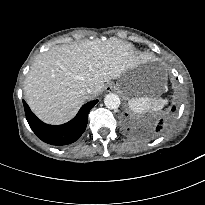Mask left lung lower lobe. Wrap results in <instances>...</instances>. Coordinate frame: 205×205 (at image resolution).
Returning a JSON list of instances; mask_svg holds the SVG:
<instances>
[{"mask_svg": "<svg viewBox=\"0 0 205 205\" xmlns=\"http://www.w3.org/2000/svg\"><path fill=\"white\" fill-rule=\"evenodd\" d=\"M175 110V107L172 108V111ZM168 125V119H160L156 121L149 129L146 131L147 135L149 136H158L163 133ZM129 130V128H128Z\"/></svg>", "mask_w": 205, "mask_h": 205, "instance_id": "left-lung-lower-lobe-1", "label": "left lung lower lobe"}]
</instances>
